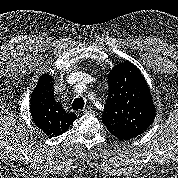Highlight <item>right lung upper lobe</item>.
Masks as SVG:
<instances>
[{"instance_id": "right-lung-upper-lobe-1", "label": "right lung upper lobe", "mask_w": 178, "mask_h": 178, "mask_svg": "<svg viewBox=\"0 0 178 178\" xmlns=\"http://www.w3.org/2000/svg\"><path fill=\"white\" fill-rule=\"evenodd\" d=\"M30 113L35 125L47 136L66 132L77 116L67 113L54 98L53 77L43 74L31 94Z\"/></svg>"}]
</instances>
